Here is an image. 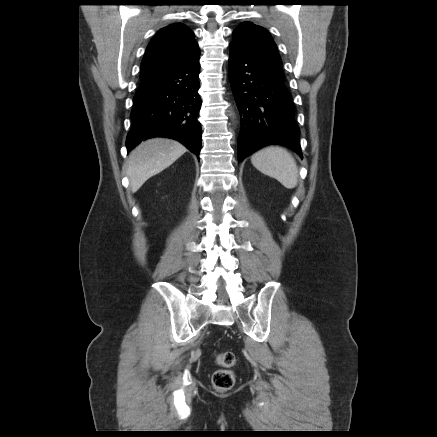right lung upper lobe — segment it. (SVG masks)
<instances>
[{
  "instance_id": "1",
  "label": "right lung upper lobe",
  "mask_w": 437,
  "mask_h": 437,
  "mask_svg": "<svg viewBox=\"0 0 437 437\" xmlns=\"http://www.w3.org/2000/svg\"><path fill=\"white\" fill-rule=\"evenodd\" d=\"M200 55L194 33L184 24L175 23L159 30L147 46L141 64V81L179 67Z\"/></svg>"
}]
</instances>
